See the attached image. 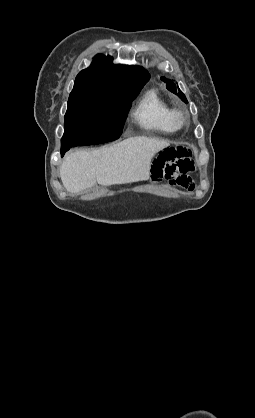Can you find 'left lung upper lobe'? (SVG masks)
I'll list each match as a JSON object with an SVG mask.
<instances>
[{
    "label": "left lung upper lobe",
    "instance_id": "left-lung-upper-lobe-1",
    "mask_svg": "<svg viewBox=\"0 0 255 418\" xmlns=\"http://www.w3.org/2000/svg\"><path fill=\"white\" fill-rule=\"evenodd\" d=\"M164 82H166V87L168 90H170L171 92H173L174 94H176L179 98H181V100L185 103H188L185 95L183 93L180 92V89H176L175 84L169 80V79H165L164 77L161 78Z\"/></svg>",
    "mask_w": 255,
    "mask_h": 418
}]
</instances>
